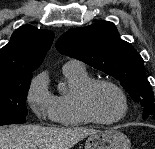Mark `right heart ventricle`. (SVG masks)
Segmentation results:
<instances>
[{"instance_id":"right-heart-ventricle-1","label":"right heart ventricle","mask_w":155,"mask_h":149,"mask_svg":"<svg viewBox=\"0 0 155 149\" xmlns=\"http://www.w3.org/2000/svg\"><path fill=\"white\" fill-rule=\"evenodd\" d=\"M69 83L68 92L55 96L54 121L63 127H77L90 121L83 115L79 106V93L82 87L92 80L83 67L63 68Z\"/></svg>"}]
</instances>
